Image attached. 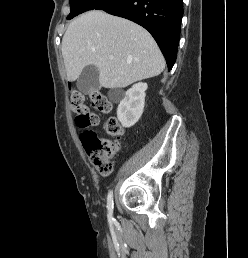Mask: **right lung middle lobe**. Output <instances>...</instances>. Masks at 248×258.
I'll return each instance as SVG.
<instances>
[{
    "label": "right lung middle lobe",
    "instance_id": "obj_1",
    "mask_svg": "<svg viewBox=\"0 0 248 258\" xmlns=\"http://www.w3.org/2000/svg\"><path fill=\"white\" fill-rule=\"evenodd\" d=\"M111 1L112 0H70L71 12L67 16V19H72L73 17L92 9H99Z\"/></svg>",
    "mask_w": 248,
    "mask_h": 258
}]
</instances>
